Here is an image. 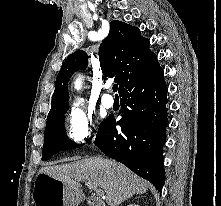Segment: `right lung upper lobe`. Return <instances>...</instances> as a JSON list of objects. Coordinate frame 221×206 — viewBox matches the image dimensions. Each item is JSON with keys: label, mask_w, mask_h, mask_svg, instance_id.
<instances>
[{"label": "right lung upper lobe", "mask_w": 221, "mask_h": 206, "mask_svg": "<svg viewBox=\"0 0 221 206\" xmlns=\"http://www.w3.org/2000/svg\"><path fill=\"white\" fill-rule=\"evenodd\" d=\"M149 45V40L141 37L138 28L117 20L110 23L109 35L99 48V60L104 76L114 78L119 84V94L158 62ZM87 64L88 56L84 51H76L65 60L56 78L49 113L68 107V81L74 72L85 69Z\"/></svg>", "instance_id": "1"}]
</instances>
